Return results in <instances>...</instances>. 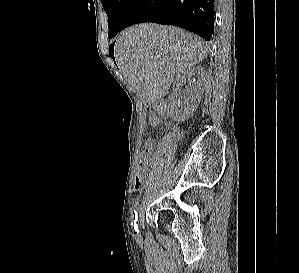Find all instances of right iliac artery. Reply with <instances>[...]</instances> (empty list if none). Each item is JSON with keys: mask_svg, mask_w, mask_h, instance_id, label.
I'll return each instance as SVG.
<instances>
[{"mask_svg": "<svg viewBox=\"0 0 299 273\" xmlns=\"http://www.w3.org/2000/svg\"><path fill=\"white\" fill-rule=\"evenodd\" d=\"M138 201L133 205L131 209V219H132V224L134 226V230L138 231V226H137V211H138Z\"/></svg>", "mask_w": 299, "mask_h": 273, "instance_id": "1", "label": "right iliac artery"}]
</instances>
